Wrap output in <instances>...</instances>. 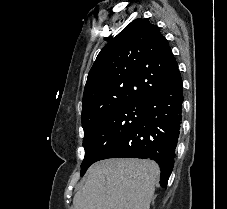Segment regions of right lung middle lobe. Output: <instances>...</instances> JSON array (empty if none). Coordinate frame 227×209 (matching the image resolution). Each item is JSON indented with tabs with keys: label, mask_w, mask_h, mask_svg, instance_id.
<instances>
[{
	"label": "right lung middle lobe",
	"mask_w": 227,
	"mask_h": 209,
	"mask_svg": "<svg viewBox=\"0 0 227 209\" xmlns=\"http://www.w3.org/2000/svg\"><path fill=\"white\" fill-rule=\"evenodd\" d=\"M100 104L105 108L100 114L82 120L85 157L81 176L139 122L144 109V102L125 99L108 98Z\"/></svg>",
	"instance_id": "1"
}]
</instances>
